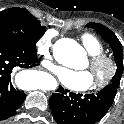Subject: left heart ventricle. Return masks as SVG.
Returning <instances> with one entry per match:
<instances>
[{
	"instance_id": "obj_1",
	"label": "left heart ventricle",
	"mask_w": 124,
	"mask_h": 124,
	"mask_svg": "<svg viewBox=\"0 0 124 124\" xmlns=\"http://www.w3.org/2000/svg\"><path fill=\"white\" fill-rule=\"evenodd\" d=\"M88 66H89V63L86 65V67H88ZM104 71H105L104 68H99L98 70H94V71L91 70L94 81L96 78L101 76L104 73Z\"/></svg>"
}]
</instances>
